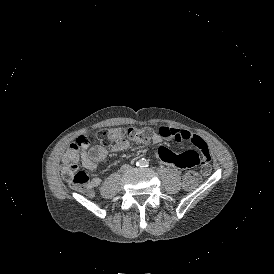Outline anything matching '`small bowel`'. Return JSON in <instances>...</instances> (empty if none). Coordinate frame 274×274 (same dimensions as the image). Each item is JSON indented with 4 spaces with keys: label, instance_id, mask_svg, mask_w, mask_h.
<instances>
[{
    "label": "small bowel",
    "instance_id": "c3829d8e",
    "mask_svg": "<svg viewBox=\"0 0 274 274\" xmlns=\"http://www.w3.org/2000/svg\"><path fill=\"white\" fill-rule=\"evenodd\" d=\"M165 139L188 141L197 148L195 146H190L188 149L179 147L176 150H170L169 148L161 146ZM152 143L154 146L159 147L158 159L160 162L169 167H176V171L179 174H184L186 171L194 169L196 165H200L202 162L200 171L203 174H208L215 168V163L210 160V152L206 142L198 134L192 133L188 130L161 127L153 134ZM128 147L129 141L120 136L114 141L112 150L114 152H121L126 150ZM80 149L82 166L89 171H94L99 163L107 156V149L100 144L90 147L88 142H85L81 144ZM201 150H203V152ZM100 184V178H93L89 182L88 186L90 188H95Z\"/></svg>",
    "mask_w": 274,
    "mask_h": 274
}]
</instances>
